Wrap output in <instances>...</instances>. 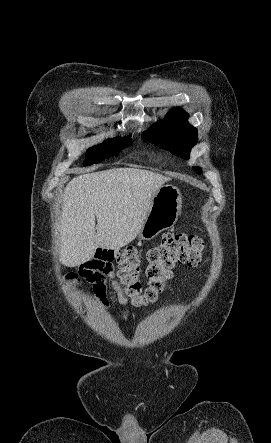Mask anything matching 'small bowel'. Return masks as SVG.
Returning a JSON list of instances; mask_svg holds the SVG:
<instances>
[{
	"instance_id": "c3829d8e",
	"label": "small bowel",
	"mask_w": 271,
	"mask_h": 443,
	"mask_svg": "<svg viewBox=\"0 0 271 443\" xmlns=\"http://www.w3.org/2000/svg\"><path fill=\"white\" fill-rule=\"evenodd\" d=\"M115 268L111 264H103L94 259L88 260L80 265L77 273H71L65 281L70 284L74 291L80 288V277L86 278L93 284L95 298L101 307L106 308L108 301L106 297L107 283L110 282L118 294L119 302L127 304V297L123 294L122 288L116 280Z\"/></svg>"
}]
</instances>
